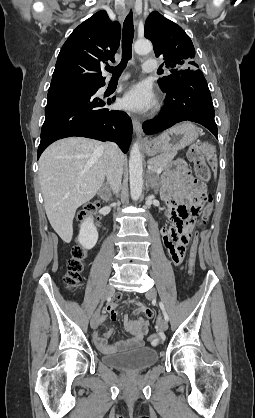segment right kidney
Here are the masks:
<instances>
[{
    "label": "right kidney",
    "instance_id": "right-kidney-1",
    "mask_svg": "<svg viewBox=\"0 0 255 418\" xmlns=\"http://www.w3.org/2000/svg\"><path fill=\"white\" fill-rule=\"evenodd\" d=\"M98 240V232L91 217L84 219L80 226L78 242L85 249H92Z\"/></svg>",
    "mask_w": 255,
    "mask_h": 418
}]
</instances>
